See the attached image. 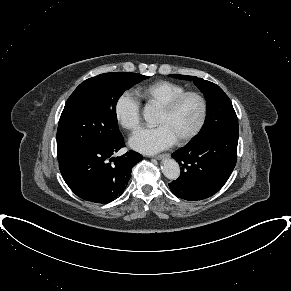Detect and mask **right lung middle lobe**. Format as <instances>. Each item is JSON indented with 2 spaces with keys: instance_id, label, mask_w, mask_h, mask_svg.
<instances>
[{
  "instance_id": "dd1d6c3e",
  "label": "right lung middle lobe",
  "mask_w": 291,
  "mask_h": 291,
  "mask_svg": "<svg viewBox=\"0 0 291 291\" xmlns=\"http://www.w3.org/2000/svg\"><path fill=\"white\" fill-rule=\"evenodd\" d=\"M147 76L104 73L81 83L67 100L57 130L58 162L80 150L109 145L122 138L116 104L125 90Z\"/></svg>"
}]
</instances>
